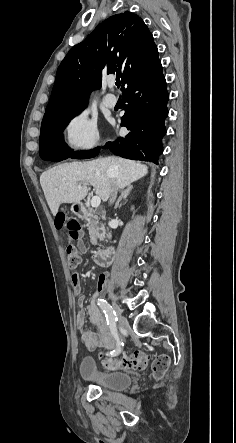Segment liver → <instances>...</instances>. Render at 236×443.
Here are the masks:
<instances>
[{
    "label": "liver",
    "instance_id": "1",
    "mask_svg": "<svg viewBox=\"0 0 236 443\" xmlns=\"http://www.w3.org/2000/svg\"><path fill=\"white\" fill-rule=\"evenodd\" d=\"M113 169L110 174L109 169ZM146 165L117 156L98 158L87 162L65 163L48 169L40 176L48 206L55 216L62 203H79L91 184L98 197L107 201L115 188L122 189L144 177ZM79 183H84L78 188Z\"/></svg>",
    "mask_w": 236,
    "mask_h": 443
}]
</instances>
